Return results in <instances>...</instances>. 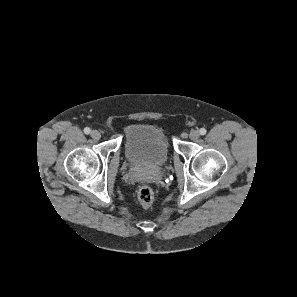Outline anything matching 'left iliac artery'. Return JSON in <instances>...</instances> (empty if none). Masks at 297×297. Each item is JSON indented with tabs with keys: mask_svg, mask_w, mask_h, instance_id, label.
<instances>
[{
	"mask_svg": "<svg viewBox=\"0 0 297 297\" xmlns=\"http://www.w3.org/2000/svg\"><path fill=\"white\" fill-rule=\"evenodd\" d=\"M199 133H200L201 135H205V134H206V129H205V128H201V129L199 130Z\"/></svg>",
	"mask_w": 297,
	"mask_h": 297,
	"instance_id": "1",
	"label": "left iliac artery"
}]
</instances>
